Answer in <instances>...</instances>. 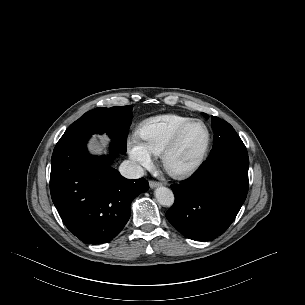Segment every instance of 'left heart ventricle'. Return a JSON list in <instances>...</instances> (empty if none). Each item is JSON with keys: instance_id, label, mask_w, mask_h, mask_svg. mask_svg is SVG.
Returning a JSON list of instances; mask_svg holds the SVG:
<instances>
[{"instance_id": "b2bd125f", "label": "left heart ventricle", "mask_w": 305, "mask_h": 305, "mask_svg": "<svg viewBox=\"0 0 305 305\" xmlns=\"http://www.w3.org/2000/svg\"><path fill=\"white\" fill-rule=\"evenodd\" d=\"M207 133L201 124L193 125L184 135L181 145L171 158L175 167H184L193 163L201 153Z\"/></svg>"}]
</instances>
